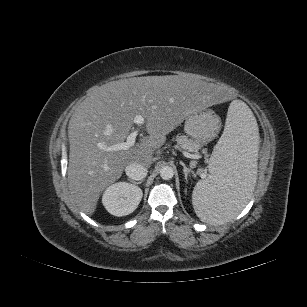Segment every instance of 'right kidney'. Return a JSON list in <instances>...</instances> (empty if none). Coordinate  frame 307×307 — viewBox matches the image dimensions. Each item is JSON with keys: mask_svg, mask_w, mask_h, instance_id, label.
Here are the masks:
<instances>
[{"mask_svg": "<svg viewBox=\"0 0 307 307\" xmlns=\"http://www.w3.org/2000/svg\"><path fill=\"white\" fill-rule=\"evenodd\" d=\"M142 196V190L138 186L117 182L104 191L102 203L110 214L121 217L135 211Z\"/></svg>", "mask_w": 307, "mask_h": 307, "instance_id": "obj_1", "label": "right kidney"}]
</instances>
